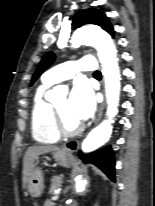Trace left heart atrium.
Listing matches in <instances>:
<instances>
[{"mask_svg":"<svg viewBox=\"0 0 155 206\" xmlns=\"http://www.w3.org/2000/svg\"><path fill=\"white\" fill-rule=\"evenodd\" d=\"M95 107L93 92L85 81H77L68 99L71 116L81 122L88 119Z\"/></svg>","mask_w":155,"mask_h":206,"instance_id":"left-heart-atrium-1","label":"left heart atrium"}]
</instances>
